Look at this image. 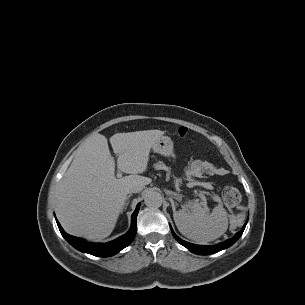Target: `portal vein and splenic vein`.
<instances>
[{
	"mask_svg": "<svg viewBox=\"0 0 305 305\" xmlns=\"http://www.w3.org/2000/svg\"><path fill=\"white\" fill-rule=\"evenodd\" d=\"M118 178H121L122 177V174L120 173V172H118L117 173V175H116ZM201 202H200V204L205 208V209H207L208 210V207H207V199H206V197H204L203 195H201Z\"/></svg>",
	"mask_w": 305,
	"mask_h": 305,
	"instance_id": "obj_1",
	"label": "portal vein and splenic vein"
}]
</instances>
